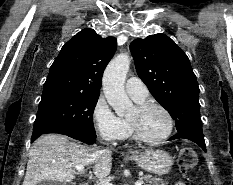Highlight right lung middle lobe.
Listing matches in <instances>:
<instances>
[{
  "label": "right lung middle lobe",
  "instance_id": "right-lung-middle-lobe-1",
  "mask_svg": "<svg viewBox=\"0 0 233 185\" xmlns=\"http://www.w3.org/2000/svg\"><path fill=\"white\" fill-rule=\"evenodd\" d=\"M98 98L67 91L43 92L31 141L51 132L96 136L92 116Z\"/></svg>",
  "mask_w": 233,
  "mask_h": 185
}]
</instances>
